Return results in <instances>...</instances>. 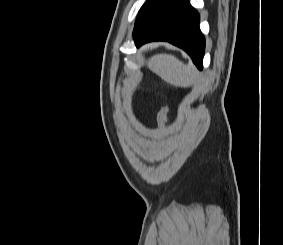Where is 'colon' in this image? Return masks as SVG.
I'll use <instances>...</instances> for the list:
<instances>
[{
  "mask_svg": "<svg viewBox=\"0 0 283 245\" xmlns=\"http://www.w3.org/2000/svg\"><path fill=\"white\" fill-rule=\"evenodd\" d=\"M169 108L167 106H162L157 113V123L160 127H164L168 120Z\"/></svg>",
  "mask_w": 283,
  "mask_h": 245,
  "instance_id": "obj_1",
  "label": "colon"
}]
</instances>
